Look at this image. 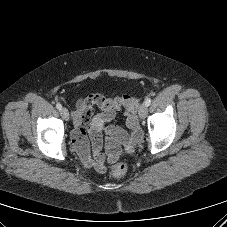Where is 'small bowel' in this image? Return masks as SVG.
I'll return each mask as SVG.
<instances>
[{
	"label": "small bowel",
	"mask_w": 227,
	"mask_h": 227,
	"mask_svg": "<svg viewBox=\"0 0 227 227\" xmlns=\"http://www.w3.org/2000/svg\"><path fill=\"white\" fill-rule=\"evenodd\" d=\"M100 108L99 113L93 107ZM137 101L129 95L106 98L93 94L80 100L74 112L73 144L88 168L97 172L105 171V159L115 162L122 153L132 152L142 139V131L136 118ZM124 110L129 132L117 125H107L117 113ZM107 135L106 155L102 152L103 134ZM91 145V146H90Z\"/></svg>",
	"instance_id": "obj_1"
}]
</instances>
